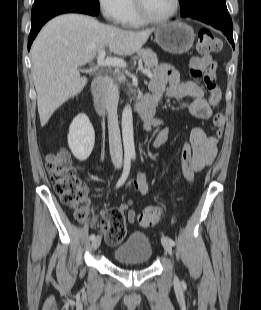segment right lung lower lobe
<instances>
[{
    "mask_svg": "<svg viewBox=\"0 0 261 310\" xmlns=\"http://www.w3.org/2000/svg\"><path fill=\"white\" fill-rule=\"evenodd\" d=\"M63 13H82L96 16L99 13V9L84 4L58 2L45 5L32 11V25L28 38V50L41 27L52 17Z\"/></svg>",
    "mask_w": 261,
    "mask_h": 310,
    "instance_id": "right-lung-lower-lobe-1",
    "label": "right lung lower lobe"
}]
</instances>
